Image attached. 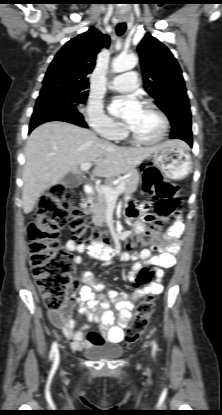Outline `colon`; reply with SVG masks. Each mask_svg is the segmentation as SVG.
I'll return each mask as SVG.
<instances>
[{
  "mask_svg": "<svg viewBox=\"0 0 222 415\" xmlns=\"http://www.w3.org/2000/svg\"><path fill=\"white\" fill-rule=\"evenodd\" d=\"M143 188L156 200L154 210L157 217L149 216L148 220L153 222L150 228L127 240L129 248L153 244L163 232L161 220L171 216L180 203L177 187L165 182L155 166H144ZM73 199L64 185L53 184L40 197L34 219L28 227L30 265L45 306L52 311L63 309L68 294L74 292V256L59 245L60 230L69 228L74 239L89 249L110 243L109 235L91 226ZM151 279V271L143 269L137 277V284L147 285ZM155 307L156 300L152 295L138 302L132 325L126 332V345L134 343L145 331Z\"/></svg>",
  "mask_w": 222,
  "mask_h": 415,
  "instance_id": "obj_1",
  "label": "colon"
}]
</instances>
